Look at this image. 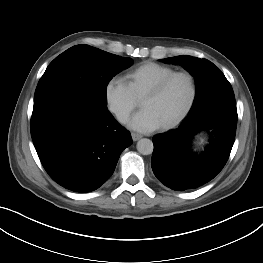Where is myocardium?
<instances>
[{
	"mask_svg": "<svg viewBox=\"0 0 263 263\" xmlns=\"http://www.w3.org/2000/svg\"><path fill=\"white\" fill-rule=\"evenodd\" d=\"M177 77H185L189 81L190 87H191L190 98H189V101H188L187 105L185 106V108L182 110V112L177 117H175L170 122L161 125L162 130H169V129L174 128L175 126L180 124L187 117V115L191 112L192 108L195 105L197 95H198V86H197V81H196L195 76L189 71H175V72L165 76L161 80H159L141 98V102H142L145 99L157 97L158 95H160L163 92V90L167 87V85L173 79H175Z\"/></svg>",
	"mask_w": 263,
	"mask_h": 263,
	"instance_id": "1",
	"label": "myocardium"
}]
</instances>
